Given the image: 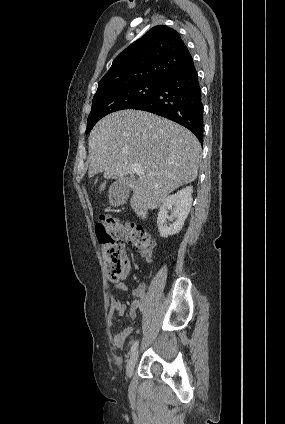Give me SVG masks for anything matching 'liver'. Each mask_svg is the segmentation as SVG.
I'll list each match as a JSON object with an SVG mask.
<instances>
[{
    "mask_svg": "<svg viewBox=\"0 0 285 424\" xmlns=\"http://www.w3.org/2000/svg\"><path fill=\"white\" fill-rule=\"evenodd\" d=\"M201 145L185 127L139 110H121L105 116L89 136L88 177L103 172L104 178L125 179L131 165L144 175L133 186L130 205L145 219L178 187L198 174ZM106 187L101 183L99 192Z\"/></svg>",
    "mask_w": 285,
    "mask_h": 424,
    "instance_id": "obj_1",
    "label": "liver"
}]
</instances>
